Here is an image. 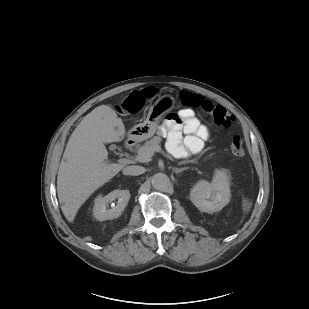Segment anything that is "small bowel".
<instances>
[{"label":"small bowel","mask_w":309,"mask_h":309,"mask_svg":"<svg viewBox=\"0 0 309 309\" xmlns=\"http://www.w3.org/2000/svg\"><path fill=\"white\" fill-rule=\"evenodd\" d=\"M141 95L145 96V94ZM164 127L168 136V148L177 156L199 153L209 137L208 128L200 122L191 109H182L178 113L169 115Z\"/></svg>","instance_id":"1"}]
</instances>
